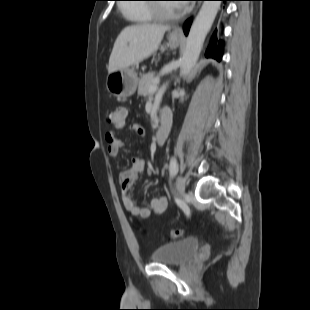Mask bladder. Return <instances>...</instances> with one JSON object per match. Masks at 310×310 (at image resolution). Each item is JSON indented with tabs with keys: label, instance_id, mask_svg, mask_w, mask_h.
<instances>
[{
	"label": "bladder",
	"instance_id": "31cf9c89",
	"mask_svg": "<svg viewBox=\"0 0 310 310\" xmlns=\"http://www.w3.org/2000/svg\"><path fill=\"white\" fill-rule=\"evenodd\" d=\"M199 246V240L196 238L170 242L155 249L151 254V259L154 263L181 265L195 255Z\"/></svg>",
	"mask_w": 310,
	"mask_h": 310
}]
</instances>
